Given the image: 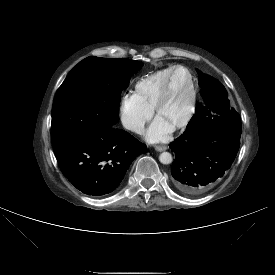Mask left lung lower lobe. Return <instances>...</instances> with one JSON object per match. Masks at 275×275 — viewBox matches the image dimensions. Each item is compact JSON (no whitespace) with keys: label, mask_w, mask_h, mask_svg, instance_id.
Returning <instances> with one entry per match:
<instances>
[{"label":"left lung lower lobe","mask_w":275,"mask_h":275,"mask_svg":"<svg viewBox=\"0 0 275 275\" xmlns=\"http://www.w3.org/2000/svg\"><path fill=\"white\" fill-rule=\"evenodd\" d=\"M241 134L217 125L183 133L171 144L175 153L172 183L182 193L199 195L212 189L232 165Z\"/></svg>","instance_id":"0a47b994"}]
</instances>
